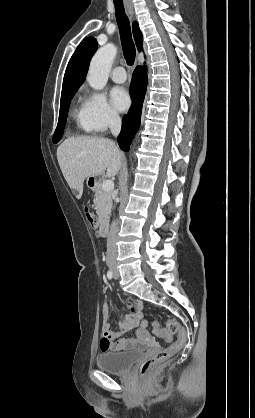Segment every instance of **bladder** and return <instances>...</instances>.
Returning <instances> with one entry per match:
<instances>
[{
  "instance_id": "31cf9c89",
  "label": "bladder",
  "mask_w": 255,
  "mask_h": 418,
  "mask_svg": "<svg viewBox=\"0 0 255 418\" xmlns=\"http://www.w3.org/2000/svg\"><path fill=\"white\" fill-rule=\"evenodd\" d=\"M141 355V349L104 352L96 357V365L105 372L121 374L126 372Z\"/></svg>"
}]
</instances>
